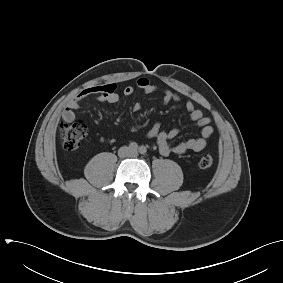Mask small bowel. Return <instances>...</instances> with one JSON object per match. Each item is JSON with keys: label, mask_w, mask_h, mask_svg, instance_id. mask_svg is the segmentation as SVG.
<instances>
[{"label": "small bowel", "mask_w": 283, "mask_h": 283, "mask_svg": "<svg viewBox=\"0 0 283 283\" xmlns=\"http://www.w3.org/2000/svg\"><path fill=\"white\" fill-rule=\"evenodd\" d=\"M136 86L139 90L145 94H151L158 91V87L153 85L149 79L141 77L137 80ZM135 91L133 86H126L123 89L125 96H131ZM95 96L99 101L108 104H115L119 101V95L117 93V87L113 83L93 86L84 89L73 97L62 112V118L66 122H71L75 119V111L79 108L83 99ZM180 97L170 90H162V101L167 104L171 101H179ZM185 108L188 111L191 120L200 128L201 135L198 138H192L184 141H180L176 144H171L178 135L177 129H170L164 131L161 129L159 123H154L153 126L147 132V137L154 139L157 142L159 151L162 155L168 156L170 154L182 155L189 151L199 152L205 149L208 139L212 136L214 129L211 126V119L203 114V112L196 108L192 101L185 103ZM141 105L139 103L134 104L133 110L139 111Z\"/></svg>", "instance_id": "1"}]
</instances>
